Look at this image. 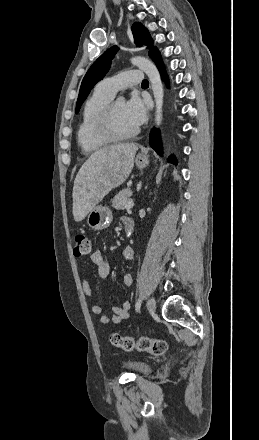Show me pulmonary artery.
<instances>
[{
	"label": "pulmonary artery",
	"instance_id": "obj_1",
	"mask_svg": "<svg viewBox=\"0 0 259 440\" xmlns=\"http://www.w3.org/2000/svg\"><path fill=\"white\" fill-rule=\"evenodd\" d=\"M142 81V71L132 69L121 72L115 76L103 79L101 82L98 83L96 89L114 97L119 90L132 85L140 84Z\"/></svg>",
	"mask_w": 259,
	"mask_h": 440
}]
</instances>
